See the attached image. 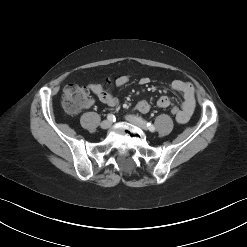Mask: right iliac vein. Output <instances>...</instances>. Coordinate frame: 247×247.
Segmentation results:
<instances>
[{"instance_id": "obj_1", "label": "right iliac vein", "mask_w": 247, "mask_h": 247, "mask_svg": "<svg viewBox=\"0 0 247 247\" xmlns=\"http://www.w3.org/2000/svg\"><path fill=\"white\" fill-rule=\"evenodd\" d=\"M112 125V122L110 120H104L102 123H101V128L102 129H108L110 128Z\"/></svg>"}]
</instances>
